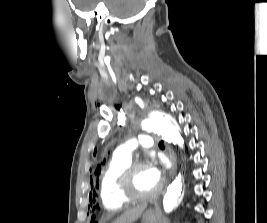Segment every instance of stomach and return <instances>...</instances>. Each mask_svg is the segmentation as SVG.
<instances>
[{"instance_id": "1", "label": "stomach", "mask_w": 267, "mask_h": 223, "mask_svg": "<svg viewBox=\"0 0 267 223\" xmlns=\"http://www.w3.org/2000/svg\"><path fill=\"white\" fill-rule=\"evenodd\" d=\"M142 223H160V215L157 209L149 208L142 216Z\"/></svg>"}]
</instances>
